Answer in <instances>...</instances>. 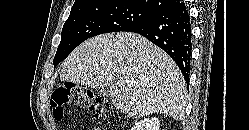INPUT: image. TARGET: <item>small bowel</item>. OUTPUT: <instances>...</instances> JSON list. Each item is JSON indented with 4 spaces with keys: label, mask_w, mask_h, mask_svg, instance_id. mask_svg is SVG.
I'll list each match as a JSON object with an SVG mask.
<instances>
[{
    "label": "small bowel",
    "mask_w": 249,
    "mask_h": 130,
    "mask_svg": "<svg viewBox=\"0 0 249 130\" xmlns=\"http://www.w3.org/2000/svg\"><path fill=\"white\" fill-rule=\"evenodd\" d=\"M90 130H100V128L93 127V128H91Z\"/></svg>",
    "instance_id": "1"
}]
</instances>
